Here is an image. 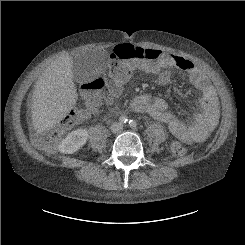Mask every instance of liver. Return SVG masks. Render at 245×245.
Listing matches in <instances>:
<instances>
[{
	"instance_id": "liver-1",
	"label": "liver",
	"mask_w": 245,
	"mask_h": 245,
	"mask_svg": "<svg viewBox=\"0 0 245 245\" xmlns=\"http://www.w3.org/2000/svg\"><path fill=\"white\" fill-rule=\"evenodd\" d=\"M73 61L69 55L54 60L35 83L31 113L35 131L41 134L57 125L76 102Z\"/></svg>"
}]
</instances>
